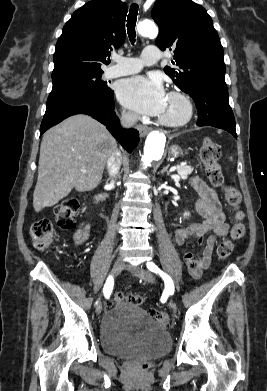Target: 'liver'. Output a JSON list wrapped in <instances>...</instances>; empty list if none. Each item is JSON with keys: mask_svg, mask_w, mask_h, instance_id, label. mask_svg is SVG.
<instances>
[{"mask_svg": "<svg viewBox=\"0 0 267 391\" xmlns=\"http://www.w3.org/2000/svg\"><path fill=\"white\" fill-rule=\"evenodd\" d=\"M115 147L107 129L87 115L71 116L48 130L40 146L34 210L54 206L73 188L79 192L96 188Z\"/></svg>", "mask_w": 267, "mask_h": 391, "instance_id": "obj_1", "label": "liver"}]
</instances>
